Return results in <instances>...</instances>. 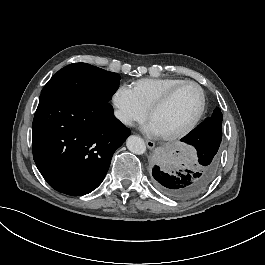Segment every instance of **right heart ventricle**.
I'll use <instances>...</instances> for the list:
<instances>
[{
    "mask_svg": "<svg viewBox=\"0 0 265 265\" xmlns=\"http://www.w3.org/2000/svg\"><path fill=\"white\" fill-rule=\"evenodd\" d=\"M185 79L179 77L142 78L127 86L135 94L140 104L147 110L162 97L171 87Z\"/></svg>",
    "mask_w": 265,
    "mask_h": 265,
    "instance_id": "e07e8e85",
    "label": "right heart ventricle"
}]
</instances>
